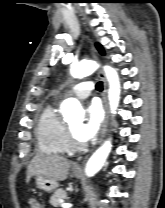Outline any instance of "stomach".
Masks as SVG:
<instances>
[{"label": "stomach", "mask_w": 165, "mask_h": 208, "mask_svg": "<svg viewBox=\"0 0 165 208\" xmlns=\"http://www.w3.org/2000/svg\"><path fill=\"white\" fill-rule=\"evenodd\" d=\"M72 175L75 177H80L81 172L73 169ZM35 183H36L37 188H39L40 190L47 192V193H51V192L55 191L58 187V183L56 181H54L50 178H47L43 175H36Z\"/></svg>", "instance_id": "0dacf381"}]
</instances>
